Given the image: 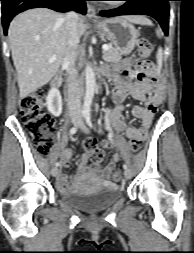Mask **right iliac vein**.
I'll use <instances>...</instances> for the list:
<instances>
[{
	"instance_id": "obj_1",
	"label": "right iliac vein",
	"mask_w": 194,
	"mask_h": 253,
	"mask_svg": "<svg viewBox=\"0 0 194 253\" xmlns=\"http://www.w3.org/2000/svg\"><path fill=\"white\" fill-rule=\"evenodd\" d=\"M73 123L76 125L78 123V121L74 120ZM58 173H59V170H58L57 167L52 168L51 174H52L53 177L57 176Z\"/></svg>"
}]
</instances>
